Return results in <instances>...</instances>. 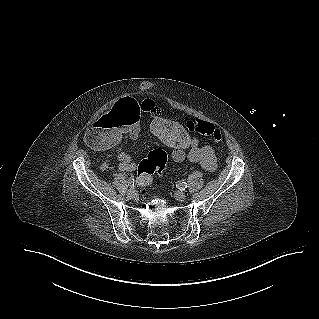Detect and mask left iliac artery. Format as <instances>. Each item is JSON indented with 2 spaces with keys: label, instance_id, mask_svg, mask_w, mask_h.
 <instances>
[{
  "label": "left iliac artery",
  "instance_id": "44dca946",
  "mask_svg": "<svg viewBox=\"0 0 319 319\" xmlns=\"http://www.w3.org/2000/svg\"><path fill=\"white\" fill-rule=\"evenodd\" d=\"M176 186L179 190H185L187 188V183L179 181Z\"/></svg>",
  "mask_w": 319,
  "mask_h": 319
}]
</instances>
